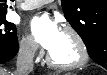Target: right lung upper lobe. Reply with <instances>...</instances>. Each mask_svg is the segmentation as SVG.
Listing matches in <instances>:
<instances>
[{
    "label": "right lung upper lobe",
    "instance_id": "cb5924a9",
    "mask_svg": "<svg viewBox=\"0 0 107 75\" xmlns=\"http://www.w3.org/2000/svg\"><path fill=\"white\" fill-rule=\"evenodd\" d=\"M6 0H0V17L6 16L7 14V4L5 3Z\"/></svg>",
    "mask_w": 107,
    "mask_h": 75
}]
</instances>
